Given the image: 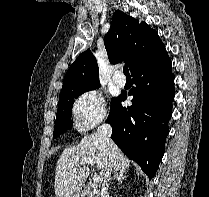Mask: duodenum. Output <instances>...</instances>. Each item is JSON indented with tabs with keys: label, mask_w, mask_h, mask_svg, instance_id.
<instances>
[{
	"label": "duodenum",
	"mask_w": 209,
	"mask_h": 197,
	"mask_svg": "<svg viewBox=\"0 0 209 197\" xmlns=\"http://www.w3.org/2000/svg\"><path fill=\"white\" fill-rule=\"evenodd\" d=\"M81 193L84 196H88V195H92L93 194V190L89 186L84 185L81 188Z\"/></svg>",
	"instance_id": "410a0bca"
}]
</instances>
